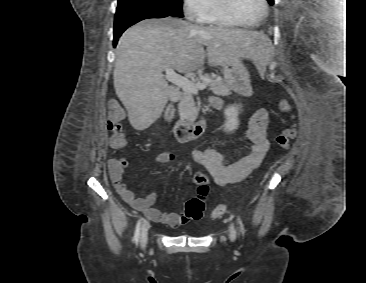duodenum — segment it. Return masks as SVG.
Wrapping results in <instances>:
<instances>
[{"label":"duodenum","mask_w":366,"mask_h":283,"mask_svg":"<svg viewBox=\"0 0 366 283\" xmlns=\"http://www.w3.org/2000/svg\"><path fill=\"white\" fill-rule=\"evenodd\" d=\"M168 121L173 120V109L168 108L166 112ZM206 119L204 117L191 120H177L174 122V135L180 142L190 141L204 132L206 129Z\"/></svg>","instance_id":"410a0bca"}]
</instances>
